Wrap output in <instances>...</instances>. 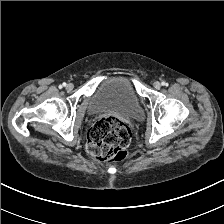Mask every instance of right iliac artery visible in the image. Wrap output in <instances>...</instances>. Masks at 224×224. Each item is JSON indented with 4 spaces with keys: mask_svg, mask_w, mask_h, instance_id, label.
<instances>
[{
    "mask_svg": "<svg viewBox=\"0 0 224 224\" xmlns=\"http://www.w3.org/2000/svg\"><path fill=\"white\" fill-rule=\"evenodd\" d=\"M66 83H63L61 86H59L60 88L65 87Z\"/></svg>",
    "mask_w": 224,
    "mask_h": 224,
    "instance_id": "right-iliac-artery-1",
    "label": "right iliac artery"
}]
</instances>
